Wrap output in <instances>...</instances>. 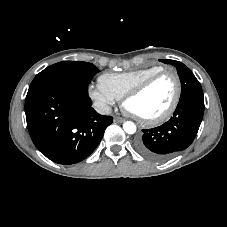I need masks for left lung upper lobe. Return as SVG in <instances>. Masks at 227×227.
<instances>
[{
	"instance_id": "left-lung-upper-lobe-1",
	"label": "left lung upper lobe",
	"mask_w": 227,
	"mask_h": 227,
	"mask_svg": "<svg viewBox=\"0 0 227 227\" xmlns=\"http://www.w3.org/2000/svg\"><path fill=\"white\" fill-rule=\"evenodd\" d=\"M159 61L165 64H172L176 67L181 81V96L180 99L188 95L196 94L203 95V91L199 81L196 79L192 71L183 63L170 59H160Z\"/></svg>"
}]
</instances>
